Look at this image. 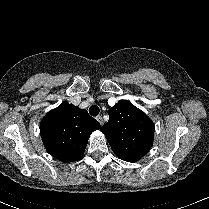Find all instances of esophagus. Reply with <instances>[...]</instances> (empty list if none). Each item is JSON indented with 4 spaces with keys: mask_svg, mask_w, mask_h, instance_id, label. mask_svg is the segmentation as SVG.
Here are the masks:
<instances>
[{
    "mask_svg": "<svg viewBox=\"0 0 209 209\" xmlns=\"http://www.w3.org/2000/svg\"><path fill=\"white\" fill-rule=\"evenodd\" d=\"M97 121L100 123V125H103V118L101 116L96 117Z\"/></svg>",
    "mask_w": 209,
    "mask_h": 209,
    "instance_id": "34e87169",
    "label": "esophagus"
}]
</instances>
